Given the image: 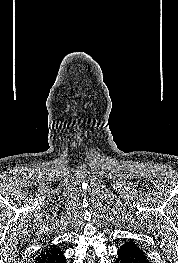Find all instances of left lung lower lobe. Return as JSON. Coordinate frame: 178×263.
Returning <instances> with one entry per match:
<instances>
[{"instance_id":"1","label":"left lung lower lobe","mask_w":178,"mask_h":263,"mask_svg":"<svg viewBox=\"0 0 178 263\" xmlns=\"http://www.w3.org/2000/svg\"><path fill=\"white\" fill-rule=\"evenodd\" d=\"M118 258L115 263H149L145 253L133 240H128L117 252Z\"/></svg>"}]
</instances>
